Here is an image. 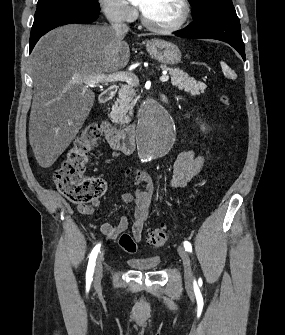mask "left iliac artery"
<instances>
[{"label": "left iliac artery", "mask_w": 285, "mask_h": 335, "mask_svg": "<svg viewBox=\"0 0 285 335\" xmlns=\"http://www.w3.org/2000/svg\"><path fill=\"white\" fill-rule=\"evenodd\" d=\"M184 247H185L186 251L192 252V246L188 241L184 242Z\"/></svg>", "instance_id": "1"}]
</instances>
